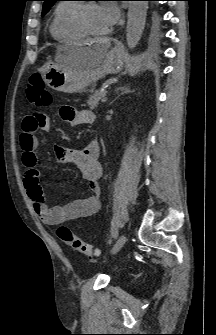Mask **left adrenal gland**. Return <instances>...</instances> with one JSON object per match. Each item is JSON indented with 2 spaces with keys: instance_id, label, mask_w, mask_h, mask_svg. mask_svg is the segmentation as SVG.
Wrapping results in <instances>:
<instances>
[{
  "instance_id": "left-adrenal-gland-1",
  "label": "left adrenal gland",
  "mask_w": 216,
  "mask_h": 335,
  "mask_svg": "<svg viewBox=\"0 0 216 335\" xmlns=\"http://www.w3.org/2000/svg\"><path fill=\"white\" fill-rule=\"evenodd\" d=\"M116 91L119 93V95L117 96V98H118L121 95H125V94H128V93L132 92L133 90H131L130 85H127V86H124V87H118L116 89Z\"/></svg>"
}]
</instances>
